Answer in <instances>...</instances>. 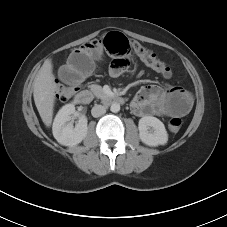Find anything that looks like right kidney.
<instances>
[{"label":"right kidney","instance_id":"obj_1","mask_svg":"<svg viewBox=\"0 0 227 227\" xmlns=\"http://www.w3.org/2000/svg\"><path fill=\"white\" fill-rule=\"evenodd\" d=\"M75 112L74 104H66L57 113L53 122V136L59 144L64 146H75L86 137L88 127L85 116L80 117L75 128L72 123H68Z\"/></svg>","mask_w":227,"mask_h":227}]
</instances>
